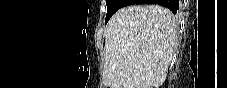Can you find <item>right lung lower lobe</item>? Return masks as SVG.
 <instances>
[{"instance_id":"1","label":"right lung lower lobe","mask_w":227,"mask_h":88,"mask_svg":"<svg viewBox=\"0 0 227 88\" xmlns=\"http://www.w3.org/2000/svg\"><path fill=\"white\" fill-rule=\"evenodd\" d=\"M144 3H154L163 5L170 9L174 14H176L179 10V0H129L127 5Z\"/></svg>"}]
</instances>
